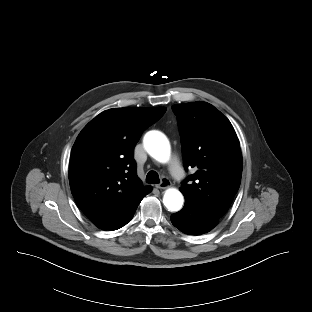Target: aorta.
<instances>
[{
	"label": "aorta",
	"mask_w": 312,
	"mask_h": 312,
	"mask_svg": "<svg viewBox=\"0 0 312 312\" xmlns=\"http://www.w3.org/2000/svg\"><path fill=\"white\" fill-rule=\"evenodd\" d=\"M144 147L154 159L166 162L170 156V144L164 134L159 131H150L144 137ZM184 199L181 192L171 188L166 190L163 203L169 211H178L182 208Z\"/></svg>",
	"instance_id": "obj_1"
}]
</instances>
